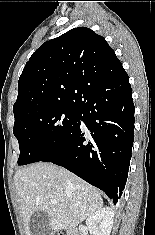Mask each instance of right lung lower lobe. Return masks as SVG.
<instances>
[{
  "mask_svg": "<svg viewBox=\"0 0 155 235\" xmlns=\"http://www.w3.org/2000/svg\"><path fill=\"white\" fill-rule=\"evenodd\" d=\"M78 125L70 138L42 159L103 190L114 204L127 181L134 140V103L125 71L96 84L77 104Z\"/></svg>",
  "mask_w": 155,
  "mask_h": 235,
  "instance_id": "obj_1",
  "label": "right lung lower lobe"
}]
</instances>
